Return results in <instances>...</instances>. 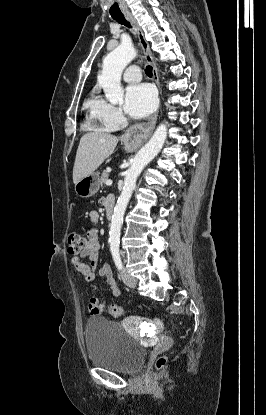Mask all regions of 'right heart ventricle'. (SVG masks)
<instances>
[{"mask_svg":"<svg viewBox=\"0 0 266 415\" xmlns=\"http://www.w3.org/2000/svg\"><path fill=\"white\" fill-rule=\"evenodd\" d=\"M93 101H94V98H90L88 100L87 105H88L89 108H91V105H92Z\"/></svg>","mask_w":266,"mask_h":415,"instance_id":"e07e8e85","label":"right heart ventricle"}]
</instances>
